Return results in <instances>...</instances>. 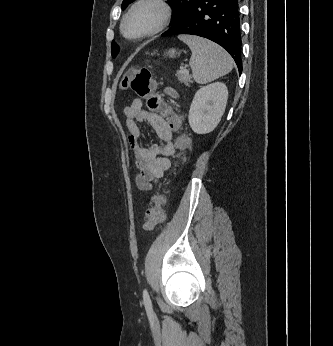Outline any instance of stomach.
<instances>
[{"mask_svg": "<svg viewBox=\"0 0 333 346\" xmlns=\"http://www.w3.org/2000/svg\"><path fill=\"white\" fill-rule=\"evenodd\" d=\"M180 51H177L176 49H170L167 53H165V54H167L169 57H176V56H179L180 55Z\"/></svg>", "mask_w": 333, "mask_h": 346, "instance_id": "stomach-1", "label": "stomach"}]
</instances>
